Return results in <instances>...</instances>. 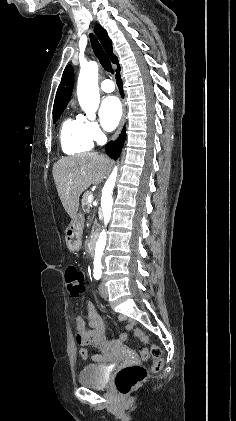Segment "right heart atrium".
Instances as JSON below:
<instances>
[{
    "label": "right heart atrium",
    "instance_id": "1",
    "mask_svg": "<svg viewBox=\"0 0 236 421\" xmlns=\"http://www.w3.org/2000/svg\"><path fill=\"white\" fill-rule=\"evenodd\" d=\"M79 118L93 141H100L103 138V133L96 120L85 115H80Z\"/></svg>",
    "mask_w": 236,
    "mask_h": 421
}]
</instances>
